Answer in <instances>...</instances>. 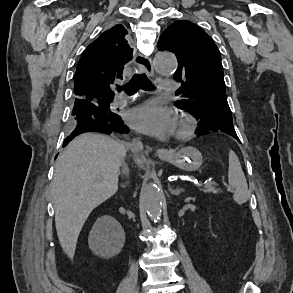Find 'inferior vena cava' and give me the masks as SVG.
<instances>
[{"instance_id": "obj_1", "label": "inferior vena cava", "mask_w": 293, "mask_h": 293, "mask_svg": "<svg viewBox=\"0 0 293 293\" xmlns=\"http://www.w3.org/2000/svg\"><path fill=\"white\" fill-rule=\"evenodd\" d=\"M127 170H128V168H127ZM123 173H126V171H125L124 167H123Z\"/></svg>"}]
</instances>
